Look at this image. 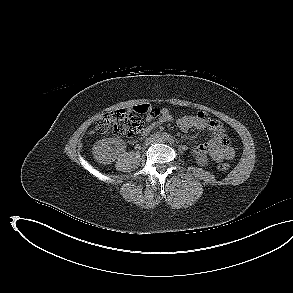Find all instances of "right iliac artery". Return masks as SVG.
<instances>
[{"label": "right iliac artery", "instance_id": "1", "mask_svg": "<svg viewBox=\"0 0 293 293\" xmlns=\"http://www.w3.org/2000/svg\"><path fill=\"white\" fill-rule=\"evenodd\" d=\"M163 137H165V139H168L169 135L165 134L163 135Z\"/></svg>", "mask_w": 293, "mask_h": 293}]
</instances>
